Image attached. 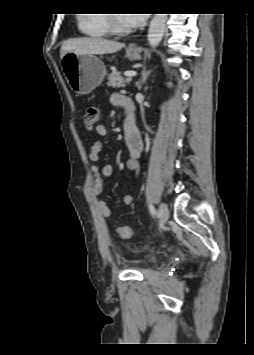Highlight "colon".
<instances>
[{"label": "colon", "mask_w": 254, "mask_h": 355, "mask_svg": "<svg viewBox=\"0 0 254 355\" xmlns=\"http://www.w3.org/2000/svg\"><path fill=\"white\" fill-rule=\"evenodd\" d=\"M100 116V110L98 107L90 106L84 113V124L87 129L92 130L96 127ZM117 233L121 238L128 239L133 236V229L129 225H119L117 227Z\"/></svg>", "instance_id": "1"}]
</instances>
